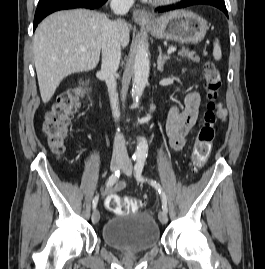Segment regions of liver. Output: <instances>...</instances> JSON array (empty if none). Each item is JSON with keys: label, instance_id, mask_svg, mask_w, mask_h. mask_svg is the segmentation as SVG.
Returning a JSON list of instances; mask_svg holds the SVG:
<instances>
[{"label": "liver", "instance_id": "liver-1", "mask_svg": "<svg viewBox=\"0 0 265 269\" xmlns=\"http://www.w3.org/2000/svg\"><path fill=\"white\" fill-rule=\"evenodd\" d=\"M106 15L86 9L46 17L33 38L34 62L42 101L47 103L68 75L94 69L100 58ZM120 43L129 44V27L118 21ZM85 50V51H83Z\"/></svg>", "mask_w": 265, "mask_h": 269}]
</instances>
